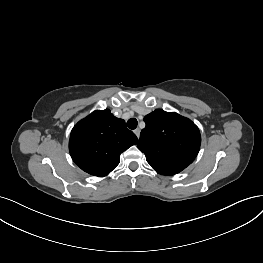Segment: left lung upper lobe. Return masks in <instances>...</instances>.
I'll return each mask as SVG.
<instances>
[{"mask_svg": "<svg viewBox=\"0 0 263 263\" xmlns=\"http://www.w3.org/2000/svg\"><path fill=\"white\" fill-rule=\"evenodd\" d=\"M146 127L137 145L157 173L174 175L196 158L201 143L198 127L188 118L157 109L144 117Z\"/></svg>", "mask_w": 263, "mask_h": 263, "instance_id": "obj_1", "label": "left lung upper lobe"}]
</instances>
